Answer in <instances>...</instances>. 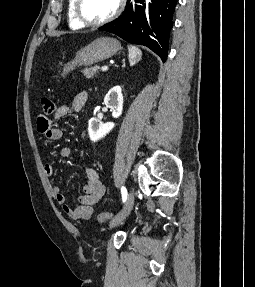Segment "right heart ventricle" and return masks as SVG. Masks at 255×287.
I'll use <instances>...</instances> for the list:
<instances>
[{
  "label": "right heart ventricle",
  "mask_w": 255,
  "mask_h": 287,
  "mask_svg": "<svg viewBox=\"0 0 255 287\" xmlns=\"http://www.w3.org/2000/svg\"><path fill=\"white\" fill-rule=\"evenodd\" d=\"M87 48H104V47H87Z\"/></svg>",
  "instance_id": "1"
}]
</instances>
